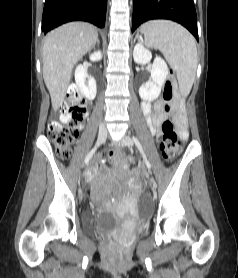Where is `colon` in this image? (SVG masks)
I'll return each instance as SVG.
<instances>
[{"instance_id":"obj_1","label":"colon","mask_w":238,"mask_h":278,"mask_svg":"<svg viewBox=\"0 0 238 278\" xmlns=\"http://www.w3.org/2000/svg\"><path fill=\"white\" fill-rule=\"evenodd\" d=\"M174 98L173 74L163 85V99L165 100V110L171 111V102ZM64 114L71 117V121L66 124L52 122L48 127V137L54 144L56 153L61 159H67L71 153V147L78 136V124L87 112L88 104L79 90L71 88L61 107ZM163 136L160 144L162 156L169 161L174 159L181 151V141L174 130L171 121L166 120L162 125ZM111 162L118 167H127L129 160L120 157L115 153H110Z\"/></svg>"}]
</instances>
